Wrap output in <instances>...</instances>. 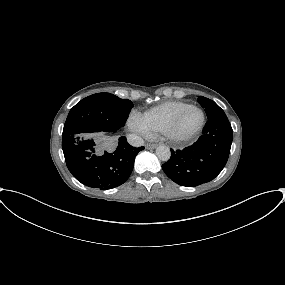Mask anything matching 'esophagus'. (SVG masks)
I'll use <instances>...</instances> for the list:
<instances>
[{
  "label": "esophagus",
  "mask_w": 285,
  "mask_h": 285,
  "mask_svg": "<svg viewBox=\"0 0 285 285\" xmlns=\"http://www.w3.org/2000/svg\"><path fill=\"white\" fill-rule=\"evenodd\" d=\"M147 149H154V148H156V144H146V146H145Z\"/></svg>",
  "instance_id": "esophagus-1"
}]
</instances>
